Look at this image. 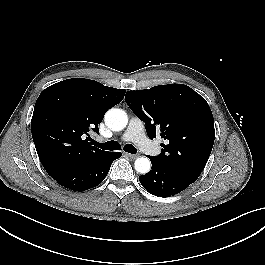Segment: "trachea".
Listing matches in <instances>:
<instances>
[{"mask_svg": "<svg viewBox=\"0 0 265 265\" xmlns=\"http://www.w3.org/2000/svg\"><path fill=\"white\" fill-rule=\"evenodd\" d=\"M92 144L101 149L110 150V151L119 150L121 148L120 144L117 141H113V140L105 142V143H98L97 141L92 140ZM123 149L124 151L131 153V154H135L137 152V149L131 144H126Z\"/></svg>", "mask_w": 265, "mask_h": 265, "instance_id": "obj_1", "label": "trachea"}]
</instances>
